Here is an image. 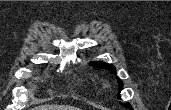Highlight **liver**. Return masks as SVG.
Wrapping results in <instances>:
<instances>
[{
	"instance_id": "obj_1",
	"label": "liver",
	"mask_w": 171,
	"mask_h": 110,
	"mask_svg": "<svg viewBox=\"0 0 171 110\" xmlns=\"http://www.w3.org/2000/svg\"><path fill=\"white\" fill-rule=\"evenodd\" d=\"M33 110H80V109L68 105H41L35 107Z\"/></svg>"
}]
</instances>
